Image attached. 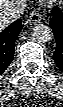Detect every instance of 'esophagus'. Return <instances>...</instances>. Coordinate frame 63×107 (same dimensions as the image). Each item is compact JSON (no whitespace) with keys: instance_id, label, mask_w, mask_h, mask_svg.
I'll use <instances>...</instances> for the list:
<instances>
[{"instance_id":"esophagus-1","label":"esophagus","mask_w":63,"mask_h":107,"mask_svg":"<svg viewBox=\"0 0 63 107\" xmlns=\"http://www.w3.org/2000/svg\"><path fill=\"white\" fill-rule=\"evenodd\" d=\"M40 19H41L40 14L36 11H32L30 13V15L28 16L27 22L36 24V23L40 22Z\"/></svg>"}]
</instances>
